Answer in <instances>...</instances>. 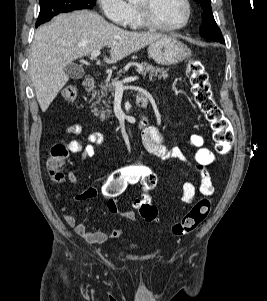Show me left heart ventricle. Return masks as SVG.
Masks as SVG:
<instances>
[{
  "mask_svg": "<svg viewBox=\"0 0 267 301\" xmlns=\"http://www.w3.org/2000/svg\"><path fill=\"white\" fill-rule=\"evenodd\" d=\"M145 0H135V5H143ZM151 15L161 24L177 25L186 15L183 0H154L150 7Z\"/></svg>",
  "mask_w": 267,
  "mask_h": 301,
  "instance_id": "b2bd125f",
  "label": "left heart ventricle"
}]
</instances>
